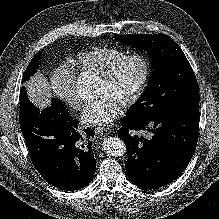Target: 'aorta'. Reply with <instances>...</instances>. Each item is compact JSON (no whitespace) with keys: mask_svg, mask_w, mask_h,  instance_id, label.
I'll return each instance as SVG.
<instances>
[{"mask_svg":"<svg viewBox=\"0 0 219 219\" xmlns=\"http://www.w3.org/2000/svg\"><path fill=\"white\" fill-rule=\"evenodd\" d=\"M103 148L111 156L119 157L126 152L125 143L118 137H108L103 142Z\"/></svg>","mask_w":219,"mask_h":219,"instance_id":"762f6f07","label":"aorta"}]
</instances>
